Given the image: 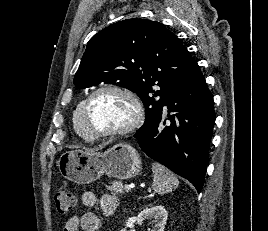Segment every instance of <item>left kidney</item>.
I'll return each instance as SVG.
<instances>
[{
  "mask_svg": "<svg viewBox=\"0 0 268 231\" xmlns=\"http://www.w3.org/2000/svg\"><path fill=\"white\" fill-rule=\"evenodd\" d=\"M168 217V212L164 206H153L151 208H146L142 210L138 216L131 217L126 222V227L121 231H126V228H133L136 222L142 223L146 219H150L153 222L152 228L148 231H164L166 221ZM132 231V230H131Z\"/></svg>",
  "mask_w": 268,
  "mask_h": 231,
  "instance_id": "left-kidney-1",
  "label": "left kidney"
}]
</instances>
